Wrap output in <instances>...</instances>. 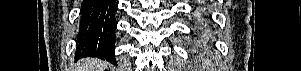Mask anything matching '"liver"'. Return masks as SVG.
I'll use <instances>...</instances> for the list:
<instances>
[{
    "instance_id": "obj_1",
    "label": "liver",
    "mask_w": 301,
    "mask_h": 71,
    "mask_svg": "<svg viewBox=\"0 0 301 71\" xmlns=\"http://www.w3.org/2000/svg\"><path fill=\"white\" fill-rule=\"evenodd\" d=\"M83 71H103L105 63L95 59H84L81 61Z\"/></svg>"
}]
</instances>
